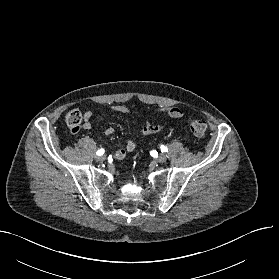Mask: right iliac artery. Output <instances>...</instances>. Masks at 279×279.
Listing matches in <instances>:
<instances>
[{
    "label": "right iliac artery",
    "mask_w": 279,
    "mask_h": 279,
    "mask_svg": "<svg viewBox=\"0 0 279 279\" xmlns=\"http://www.w3.org/2000/svg\"><path fill=\"white\" fill-rule=\"evenodd\" d=\"M96 154L98 155V156H101V155H103L104 154V149H99L97 152H96Z\"/></svg>",
    "instance_id": "obj_1"
}]
</instances>
